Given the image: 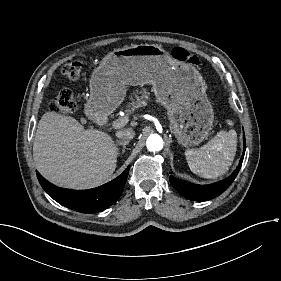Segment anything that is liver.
Instances as JSON below:
<instances>
[{
    "label": "liver",
    "mask_w": 281,
    "mask_h": 281,
    "mask_svg": "<svg viewBox=\"0 0 281 281\" xmlns=\"http://www.w3.org/2000/svg\"><path fill=\"white\" fill-rule=\"evenodd\" d=\"M33 156L48 181L74 190L104 184L116 167L115 145L109 135L84 128L74 117L52 112L38 122Z\"/></svg>",
    "instance_id": "obj_1"
}]
</instances>
